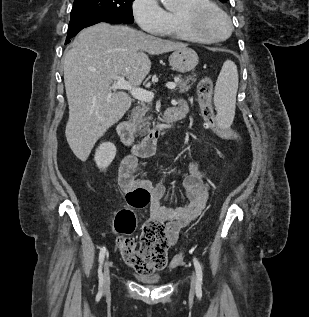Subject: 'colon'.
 <instances>
[{
  "label": "colon",
  "mask_w": 309,
  "mask_h": 317,
  "mask_svg": "<svg viewBox=\"0 0 309 317\" xmlns=\"http://www.w3.org/2000/svg\"><path fill=\"white\" fill-rule=\"evenodd\" d=\"M212 80L203 77L197 92L202 116L207 125L217 129L214 111L211 105ZM219 134L227 139L238 140V134L232 129H220ZM127 208L121 210L115 220V229L119 234L118 249L124 261L138 273L150 274L162 270L167 264V250L169 241L165 225L155 219L147 220L142 228L139 240L131 236L135 230V211L145 208L150 202V194L144 189H136L126 195ZM182 255L173 259L174 265L182 262Z\"/></svg>",
  "instance_id": "obj_1"
}]
</instances>
